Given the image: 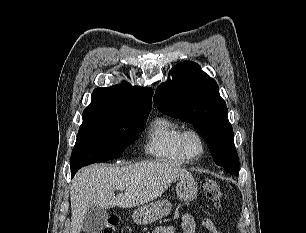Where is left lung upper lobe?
Returning <instances> with one entry per match:
<instances>
[{"instance_id":"5c2ea615","label":"left lung upper lobe","mask_w":306,"mask_h":233,"mask_svg":"<svg viewBox=\"0 0 306 233\" xmlns=\"http://www.w3.org/2000/svg\"><path fill=\"white\" fill-rule=\"evenodd\" d=\"M170 73L173 79L158 87L155 105L166 115L192 123L205 139L215 163L238 175L234 133L216 81L190 61L178 63Z\"/></svg>"}]
</instances>
